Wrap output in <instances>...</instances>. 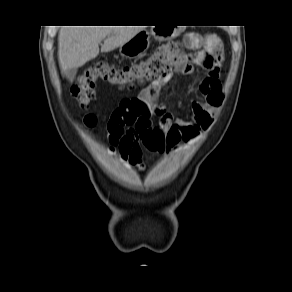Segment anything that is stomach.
<instances>
[{
	"label": "stomach",
	"instance_id": "0dacf381",
	"mask_svg": "<svg viewBox=\"0 0 292 292\" xmlns=\"http://www.w3.org/2000/svg\"><path fill=\"white\" fill-rule=\"evenodd\" d=\"M150 35L159 41H164L176 37L178 30L164 26H154L150 32L142 30L120 47L121 55L134 58L145 52L150 46Z\"/></svg>",
	"mask_w": 292,
	"mask_h": 292
}]
</instances>
